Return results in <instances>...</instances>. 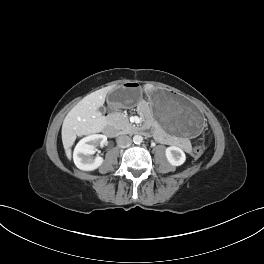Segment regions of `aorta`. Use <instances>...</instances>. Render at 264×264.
I'll return each instance as SVG.
<instances>
[{
  "mask_svg": "<svg viewBox=\"0 0 264 264\" xmlns=\"http://www.w3.org/2000/svg\"><path fill=\"white\" fill-rule=\"evenodd\" d=\"M142 141H143V137L141 135H134L133 142L135 144H140L142 143Z\"/></svg>",
  "mask_w": 264,
  "mask_h": 264,
  "instance_id": "aorta-1",
  "label": "aorta"
}]
</instances>
